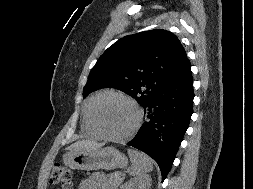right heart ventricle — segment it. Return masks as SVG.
<instances>
[{
	"label": "right heart ventricle",
	"mask_w": 253,
	"mask_h": 189,
	"mask_svg": "<svg viewBox=\"0 0 253 189\" xmlns=\"http://www.w3.org/2000/svg\"><path fill=\"white\" fill-rule=\"evenodd\" d=\"M95 97H91L90 99H88L84 106H83V111H82V125L84 130L91 136L94 137H99L100 134L96 131V129L93 127L91 120H90V106L92 104V101Z\"/></svg>",
	"instance_id": "obj_1"
}]
</instances>
